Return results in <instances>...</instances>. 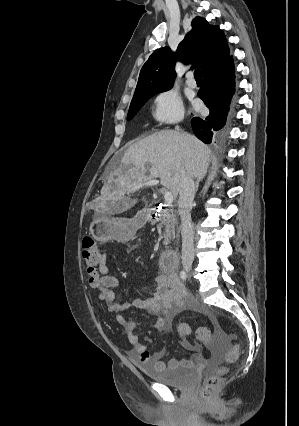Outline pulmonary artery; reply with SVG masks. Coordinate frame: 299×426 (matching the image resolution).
<instances>
[{
    "instance_id": "1",
    "label": "pulmonary artery",
    "mask_w": 299,
    "mask_h": 426,
    "mask_svg": "<svg viewBox=\"0 0 299 426\" xmlns=\"http://www.w3.org/2000/svg\"><path fill=\"white\" fill-rule=\"evenodd\" d=\"M187 85L191 88H195L196 87V81L194 80L192 75H189L186 81Z\"/></svg>"
}]
</instances>
